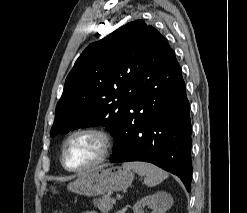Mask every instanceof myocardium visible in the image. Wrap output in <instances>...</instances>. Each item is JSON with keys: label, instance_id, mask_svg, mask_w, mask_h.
<instances>
[{"label": "myocardium", "instance_id": "obj_1", "mask_svg": "<svg viewBox=\"0 0 247 213\" xmlns=\"http://www.w3.org/2000/svg\"><path fill=\"white\" fill-rule=\"evenodd\" d=\"M81 134H91V135L98 137L101 141L102 149H101L99 156L92 163L86 166L80 167V168H71L67 165L65 161L66 147L72 138H74L77 135H81ZM113 146H114L113 137L107 130L103 128H98V127L79 128L69 133L67 137L65 138L62 144V147H61L60 161H61L62 166L69 172H73V173L86 172L104 163L110 156Z\"/></svg>", "mask_w": 247, "mask_h": 213}]
</instances>
